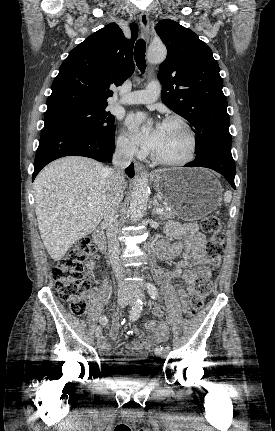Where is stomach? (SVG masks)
<instances>
[{
  "instance_id": "stomach-1",
  "label": "stomach",
  "mask_w": 275,
  "mask_h": 431,
  "mask_svg": "<svg viewBox=\"0 0 275 431\" xmlns=\"http://www.w3.org/2000/svg\"><path fill=\"white\" fill-rule=\"evenodd\" d=\"M154 186L177 216L186 221L202 218L221 202L220 183L202 168L162 169L155 174Z\"/></svg>"
}]
</instances>
